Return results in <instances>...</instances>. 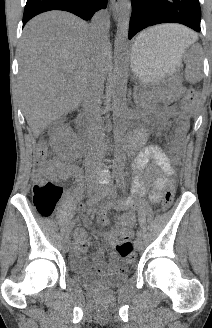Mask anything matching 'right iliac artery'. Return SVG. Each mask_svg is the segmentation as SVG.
Here are the masks:
<instances>
[{"label":"right iliac artery","instance_id":"82829eb1","mask_svg":"<svg viewBox=\"0 0 212 328\" xmlns=\"http://www.w3.org/2000/svg\"><path fill=\"white\" fill-rule=\"evenodd\" d=\"M98 196H93L91 197L88 201H87V206H92L95 202L98 201ZM85 208V207H84ZM75 224V221L71 222L69 228L67 229L66 233H65V237L68 238L69 237V233L71 232L73 226Z\"/></svg>","mask_w":212,"mask_h":328}]
</instances>
